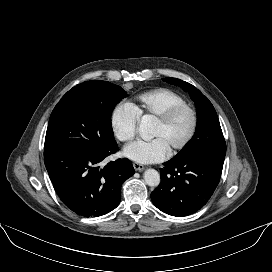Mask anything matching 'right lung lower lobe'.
<instances>
[{"mask_svg":"<svg viewBox=\"0 0 272 272\" xmlns=\"http://www.w3.org/2000/svg\"><path fill=\"white\" fill-rule=\"evenodd\" d=\"M116 142L102 149L69 146L45 156V166L62 202L82 216H101L121 200L122 183L134 174L127 158L101 162L116 153Z\"/></svg>","mask_w":272,"mask_h":272,"instance_id":"right-lung-lower-lobe-1","label":"right lung lower lobe"}]
</instances>
